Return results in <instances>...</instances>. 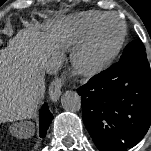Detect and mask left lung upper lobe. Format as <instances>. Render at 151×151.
I'll use <instances>...</instances> for the list:
<instances>
[{"label": "left lung upper lobe", "instance_id": "1", "mask_svg": "<svg viewBox=\"0 0 151 151\" xmlns=\"http://www.w3.org/2000/svg\"><path fill=\"white\" fill-rule=\"evenodd\" d=\"M134 56H146L145 46L140 39L132 41L125 47L119 61H123Z\"/></svg>", "mask_w": 151, "mask_h": 151}]
</instances>
